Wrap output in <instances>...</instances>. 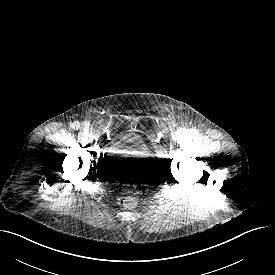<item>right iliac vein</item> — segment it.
<instances>
[{
  "mask_svg": "<svg viewBox=\"0 0 275 275\" xmlns=\"http://www.w3.org/2000/svg\"><path fill=\"white\" fill-rule=\"evenodd\" d=\"M88 126L86 125V124H83L82 126H81V129H84V128H87Z\"/></svg>",
  "mask_w": 275,
  "mask_h": 275,
  "instance_id": "1",
  "label": "right iliac vein"
}]
</instances>
